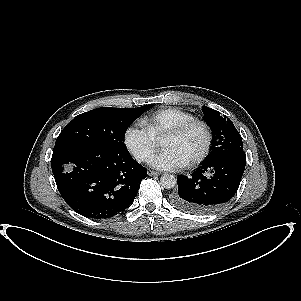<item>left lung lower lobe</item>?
<instances>
[{"mask_svg":"<svg viewBox=\"0 0 301 301\" xmlns=\"http://www.w3.org/2000/svg\"><path fill=\"white\" fill-rule=\"evenodd\" d=\"M246 165L243 149H228L205 160L192 176H179L178 189L170 196L177 208L210 213L227 204L236 194Z\"/></svg>","mask_w":301,"mask_h":301,"instance_id":"0a47b994","label":"left lung lower lobe"}]
</instances>
